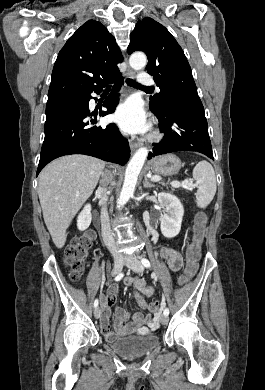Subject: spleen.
Returning <instances> with one entry per match:
<instances>
[{
  "instance_id": "1",
  "label": "spleen",
  "mask_w": 265,
  "mask_h": 390,
  "mask_svg": "<svg viewBox=\"0 0 265 390\" xmlns=\"http://www.w3.org/2000/svg\"><path fill=\"white\" fill-rule=\"evenodd\" d=\"M193 178L198 185L196 192V204L200 208H206L213 200L216 193V176L212 165L203 160L193 169Z\"/></svg>"
}]
</instances>
